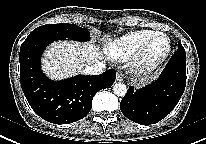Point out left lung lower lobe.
Listing matches in <instances>:
<instances>
[{
	"label": "left lung lower lobe",
	"mask_w": 206,
	"mask_h": 144,
	"mask_svg": "<svg viewBox=\"0 0 206 144\" xmlns=\"http://www.w3.org/2000/svg\"><path fill=\"white\" fill-rule=\"evenodd\" d=\"M186 86V52L180 42L159 78L142 89L129 87L120 102L128 119L151 125L165 118L177 105Z\"/></svg>",
	"instance_id": "1"
}]
</instances>
